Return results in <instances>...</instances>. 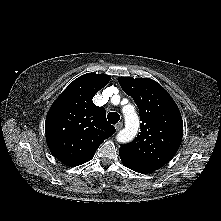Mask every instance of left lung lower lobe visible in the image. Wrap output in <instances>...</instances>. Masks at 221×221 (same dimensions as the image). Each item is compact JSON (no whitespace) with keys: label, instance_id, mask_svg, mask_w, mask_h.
Returning a JSON list of instances; mask_svg holds the SVG:
<instances>
[{"label":"left lung lower lobe","instance_id":"1","mask_svg":"<svg viewBox=\"0 0 221 221\" xmlns=\"http://www.w3.org/2000/svg\"><path fill=\"white\" fill-rule=\"evenodd\" d=\"M121 160H122V159H121ZM122 162H123L124 165H126L128 168H130V169H132V170H134V171H136V172H139V173H149V172H151V171H148V170L141 169V168H139V167H137V166H135V165H132V164L128 163V162L125 161V160H122Z\"/></svg>","mask_w":221,"mask_h":221}]
</instances>
